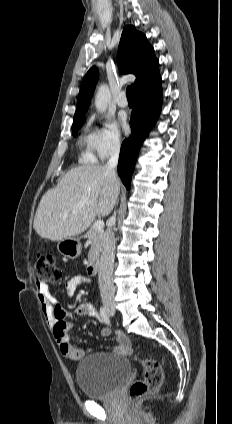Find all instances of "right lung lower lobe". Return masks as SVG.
Listing matches in <instances>:
<instances>
[{"mask_svg":"<svg viewBox=\"0 0 232 424\" xmlns=\"http://www.w3.org/2000/svg\"><path fill=\"white\" fill-rule=\"evenodd\" d=\"M162 105L161 77L149 87L136 91V103L132 110L131 135L124 140L120 150L118 174L129 189L139 149L156 122Z\"/></svg>","mask_w":232,"mask_h":424,"instance_id":"98d812e1","label":"right lung lower lobe"}]
</instances>
